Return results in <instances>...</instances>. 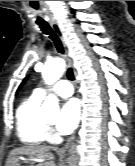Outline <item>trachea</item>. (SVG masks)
Instances as JSON below:
<instances>
[{"label":"trachea","instance_id":"trachea-1","mask_svg":"<svg viewBox=\"0 0 135 166\" xmlns=\"http://www.w3.org/2000/svg\"><path fill=\"white\" fill-rule=\"evenodd\" d=\"M38 25H39L41 31L44 34L48 35L49 38L54 42L57 51L59 53L63 54L64 49H63L62 42H61L60 38L57 36V34L54 32V30L50 27V25L48 23H39ZM67 78L71 81H73L75 79L72 68H69L67 70Z\"/></svg>","mask_w":135,"mask_h":166}]
</instances>
